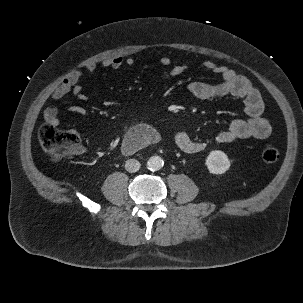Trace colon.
I'll return each mask as SVG.
<instances>
[{
    "instance_id": "5ec220e1",
    "label": "colon",
    "mask_w": 303,
    "mask_h": 303,
    "mask_svg": "<svg viewBox=\"0 0 303 303\" xmlns=\"http://www.w3.org/2000/svg\"><path fill=\"white\" fill-rule=\"evenodd\" d=\"M38 138L42 149L54 162L77 153L80 147V136L75 130L59 129L49 123L41 127ZM279 157V150L275 146H266L262 151V159L266 163H275Z\"/></svg>"
}]
</instances>
